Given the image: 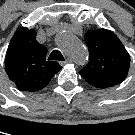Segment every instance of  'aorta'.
Instances as JSON below:
<instances>
[{"instance_id": "762f6f07", "label": "aorta", "mask_w": 135, "mask_h": 135, "mask_svg": "<svg viewBox=\"0 0 135 135\" xmlns=\"http://www.w3.org/2000/svg\"><path fill=\"white\" fill-rule=\"evenodd\" d=\"M58 46L75 62L84 64L88 60V52L82 42L73 34L61 32L57 35Z\"/></svg>"}]
</instances>
